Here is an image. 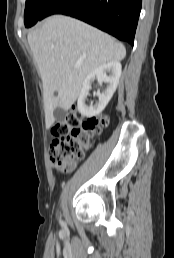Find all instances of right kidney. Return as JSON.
Segmentation results:
<instances>
[{"instance_id": "obj_1", "label": "right kidney", "mask_w": 174, "mask_h": 258, "mask_svg": "<svg viewBox=\"0 0 174 258\" xmlns=\"http://www.w3.org/2000/svg\"><path fill=\"white\" fill-rule=\"evenodd\" d=\"M107 73L109 75H107ZM120 76L121 63L119 61H111L94 69L85 78L78 97L77 107L81 115L85 117H93L100 114L107 106L108 102L116 91ZM95 79L98 80L99 83H106L107 87L105 91L97 92L96 95L98 97V101L95 104L91 103L89 106H87L85 104V100L89 95L91 84Z\"/></svg>"}]
</instances>
